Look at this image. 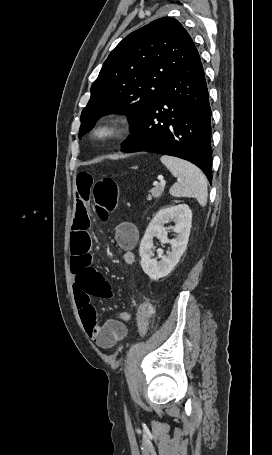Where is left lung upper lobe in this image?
<instances>
[{
	"label": "left lung upper lobe",
	"instance_id": "1",
	"mask_svg": "<svg viewBox=\"0 0 272 455\" xmlns=\"http://www.w3.org/2000/svg\"><path fill=\"white\" fill-rule=\"evenodd\" d=\"M198 55L192 38L174 18L157 19L130 33L109 54L91 86L79 136L109 113L126 114L133 130L168 80Z\"/></svg>",
	"mask_w": 272,
	"mask_h": 455
}]
</instances>
